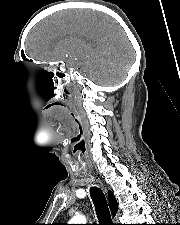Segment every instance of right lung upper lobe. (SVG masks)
I'll list each match as a JSON object with an SVG mask.
<instances>
[{
  "mask_svg": "<svg viewBox=\"0 0 180 225\" xmlns=\"http://www.w3.org/2000/svg\"><path fill=\"white\" fill-rule=\"evenodd\" d=\"M109 204H110V209H111V212L113 215L116 214L117 212V201H116V198L115 196L109 192ZM55 225H59V224H55Z\"/></svg>",
  "mask_w": 180,
  "mask_h": 225,
  "instance_id": "obj_1",
  "label": "right lung upper lobe"
}]
</instances>
